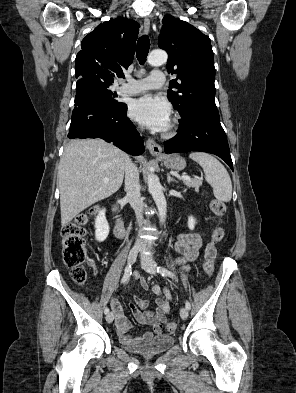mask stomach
<instances>
[{
    "label": "stomach",
    "mask_w": 296,
    "mask_h": 393,
    "mask_svg": "<svg viewBox=\"0 0 296 393\" xmlns=\"http://www.w3.org/2000/svg\"><path fill=\"white\" fill-rule=\"evenodd\" d=\"M164 165L173 170H183L186 167L185 159L178 154L162 156Z\"/></svg>",
    "instance_id": "1"
}]
</instances>
